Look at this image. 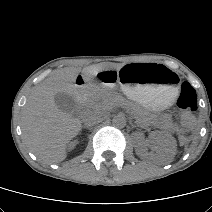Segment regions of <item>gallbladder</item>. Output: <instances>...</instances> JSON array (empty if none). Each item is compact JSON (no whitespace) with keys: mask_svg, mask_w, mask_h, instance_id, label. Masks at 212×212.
I'll use <instances>...</instances> for the list:
<instances>
[{"mask_svg":"<svg viewBox=\"0 0 212 212\" xmlns=\"http://www.w3.org/2000/svg\"><path fill=\"white\" fill-rule=\"evenodd\" d=\"M54 101L59 110L68 114H73L77 105L73 95L63 92L55 94Z\"/></svg>","mask_w":212,"mask_h":212,"instance_id":"gallbladder-1","label":"gallbladder"}]
</instances>
